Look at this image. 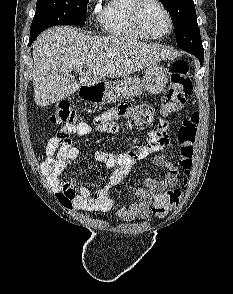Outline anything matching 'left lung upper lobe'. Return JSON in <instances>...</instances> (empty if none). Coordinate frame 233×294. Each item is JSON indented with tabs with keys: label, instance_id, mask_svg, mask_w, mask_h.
Listing matches in <instances>:
<instances>
[{
	"label": "left lung upper lobe",
	"instance_id": "left-lung-upper-lobe-1",
	"mask_svg": "<svg viewBox=\"0 0 233 294\" xmlns=\"http://www.w3.org/2000/svg\"><path fill=\"white\" fill-rule=\"evenodd\" d=\"M169 11L178 47L203 62L204 49L193 0H159Z\"/></svg>",
	"mask_w": 233,
	"mask_h": 294
}]
</instances>
